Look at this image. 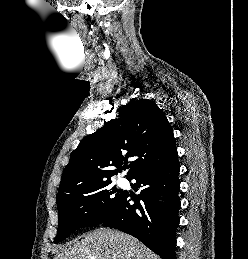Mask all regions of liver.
I'll return each mask as SVG.
<instances>
[{"mask_svg": "<svg viewBox=\"0 0 248 259\" xmlns=\"http://www.w3.org/2000/svg\"><path fill=\"white\" fill-rule=\"evenodd\" d=\"M53 259H159L136 238L112 229H98L82 236Z\"/></svg>", "mask_w": 248, "mask_h": 259, "instance_id": "liver-1", "label": "liver"}]
</instances>
